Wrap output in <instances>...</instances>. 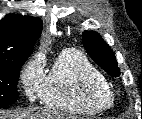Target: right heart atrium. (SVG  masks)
Masks as SVG:
<instances>
[{
    "label": "right heart atrium",
    "instance_id": "obj_1",
    "mask_svg": "<svg viewBox=\"0 0 142 119\" xmlns=\"http://www.w3.org/2000/svg\"><path fill=\"white\" fill-rule=\"evenodd\" d=\"M43 79L44 60L38 55L25 64L19 77L20 86L29 100L40 97Z\"/></svg>",
    "mask_w": 142,
    "mask_h": 119
}]
</instances>
